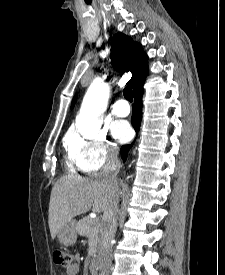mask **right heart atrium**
I'll return each mask as SVG.
<instances>
[{
	"instance_id": "d8ad5b80",
	"label": "right heart atrium",
	"mask_w": 225,
	"mask_h": 275,
	"mask_svg": "<svg viewBox=\"0 0 225 275\" xmlns=\"http://www.w3.org/2000/svg\"><path fill=\"white\" fill-rule=\"evenodd\" d=\"M66 144L74 163L84 172L99 170L116 159V148L105 131L90 137L70 133Z\"/></svg>"
}]
</instances>
